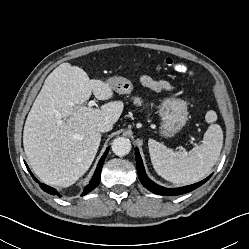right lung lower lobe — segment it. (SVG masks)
<instances>
[{
	"label": "right lung lower lobe",
	"instance_id": "98d812e1",
	"mask_svg": "<svg viewBox=\"0 0 249 249\" xmlns=\"http://www.w3.org/2000/svg\"><path fill=\"white\" fill-rule=\"evenodd\" d=\"M108 151H109V147L106 149L105 153L103 154V156L101 157L99 163H98V166L96 168V171L90 181V183L85 187L84 189V192L82 193L81 196H84L86 195L87 193H89L90 191H92L94 188H96L100 182V176H101V169H102V165H103V162L108 154ZM28 171L30 172L31 176L33 177V179L39 183V181L33 176V174L31 173V171L29 170L27 164H25ZM40 187L42 190H44L45 192L49 193V194H52V195H59V193L57 192V190H55L54 188L50 187V186H47L45 184H42V183H39Z\"/></svg>",
	"mask_w": 249,
	"mask_h": 249
}]
</instances>
